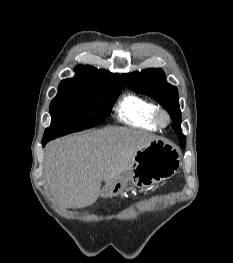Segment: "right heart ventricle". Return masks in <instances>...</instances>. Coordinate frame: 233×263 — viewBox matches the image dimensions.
I'll return each instance as SVG.
<instances>
[{
    "mask_svg": "<svg viewBox=\"0 0 233 263\" xmlns=\"http://www.w3.org/2000/svg\"><path fill=\"white\" fill-rule=\"evenodd\" d=\"M156 109L157 106L149 99L128 93L117 103L116 116L120 122L127 125L157 131L159 126L154 120Z\"/></svg>",
    "mask_w": 233,
    "mask_h": 263,
    "instance_id": "1",
    "label": "right heart ventricle"
}]
</instances>
